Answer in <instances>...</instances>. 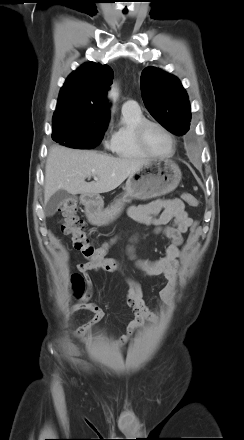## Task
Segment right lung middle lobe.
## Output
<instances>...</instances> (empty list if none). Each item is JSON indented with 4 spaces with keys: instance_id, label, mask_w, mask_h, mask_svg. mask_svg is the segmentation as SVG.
Here are the masks:
<instances>
[{
    "instance_id": "1",
    "label": "right lung middle lobe",
    "mask_w": 244,
    "mask_h": 440,
    "mask_svg": "<svg viewBox=\"0 0 244 440\" xmlns=\"http://www.w3.org/2000/svg\"><path fill=\"white\" fill-rule=\"evenodd\" d=\"M107 124L77 120L53 122L52 139L71 148L91 149L102 141Z\"/></svg>"
}]
</instances>
